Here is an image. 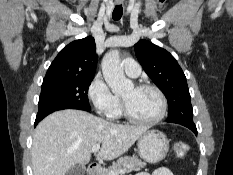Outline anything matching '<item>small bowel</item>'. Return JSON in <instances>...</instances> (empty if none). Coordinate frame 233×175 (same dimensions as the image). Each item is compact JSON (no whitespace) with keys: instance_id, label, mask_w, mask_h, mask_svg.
I'll use <instances>...</instances> for the list:
<instances>
[{"instance_id":"small-bowel-1","label":"small bowel","mask_w":233,"mask_h":175,"mask_svg":"<svg viewBox=\"0 0 233 175\" xmlns=\"http://www.w3.org/2000/svg\"><path fill=\"white\" fill-rule=\"evenodd\" d=\"M136 175H174L172 171L166 167L156 169L154 172L149 173L146 171L138 172Z\"/></svg>"}]
</instances>
